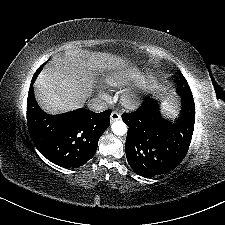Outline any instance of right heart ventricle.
<instances>
[{
  "label": "right heart ventricle",
  "instance_id": "obj_1",
  "mask_svg": "<svg viewBox=\"0 0 225 225\" xmlns=\"http://www.w3.org/2000/svg\"><path fill=\"white\" fill-rule=\"evenodd\" d=\"M131 81H134L136 80V77L135 76H132L130 77ZM126 83V80H122V79H115V78H112L109 80V84L113 87H121L123 86L124 84Z\"/></svg>",
  "mask_w": 225,
  "mask_h": 225
}]
</instances>
